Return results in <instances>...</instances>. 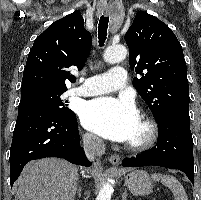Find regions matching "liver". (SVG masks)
<instances>
[{"label": "liver", "mask_w": 201, "mask_h": 200, "mask_svg": "<svg viewBox=\"0 0 201 200\" xmlns=\"http://www.w3.org/2000/svg\"><path fill=\"white\" fill-rule=\"evenodd\" d=\"M78 171L71 163L45 158L26 165L15 200H74Z\"/></svg>", "instance_id": "6515ba94"}]
</instances>
